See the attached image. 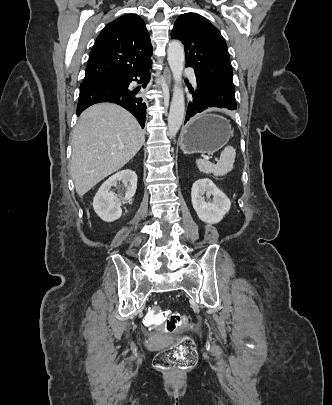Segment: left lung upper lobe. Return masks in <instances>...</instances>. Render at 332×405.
I'll list each match as a JSON object with an SVG mask.
<instances>
[{
  "mask_svg": "<svg viewBox=\"0 0 332 405\" xmlns=\"http://www.w3.org/2000/svg\"><path fill=\"white\" fill-rule=\"evenodd\" d=\"M171 38L184 44L186 66L195 70L197 91L215 107L236 110L232 66L218 29L196 13H185L177 18Z\"/></svg>",
  "mask_w": 332,
  "mask_h": 405,
  "instance_id": "obj_1",
  "label": "left lung upper lobe"
}]
</instances>
